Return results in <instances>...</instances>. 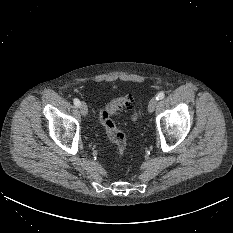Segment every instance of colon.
I'll return each instance as SVG.
<instances>
[{"mask_svg":"<svg viewBox=\"0 0 233 233\" xmlns=\"http://www.w3.org/2000/svg\"><path fill=\"white\" fill-rule=\"evenodd\" d=\"M133 103L134 98L132 95L127 94L119 96L110 100L99 113V121L110 141L115 144L119 156L124 155L127 147V141L125 134L117 128L112 116L121 111L132 109ZM132 118L136 120L138 115L135 113Z\"/></svg>","mask_w":233,"mask_h":233,"instance_id":"5ec220e1","label":"colon"}]
</instances>
